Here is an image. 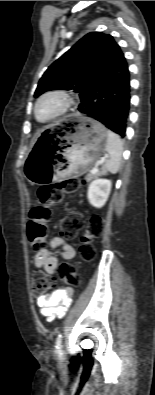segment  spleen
<instances>
[{"label":"spleen","mask_w":155,"mask_h":395,"mask_svg":"<svg viewBox=\"0 0 155 395\" xmlns=\"http://www.w3.org/2000/svg\"><path fill=\"white\" fill-rule=\"evenodd\" d=\"M105 150L108 153V159L106 160L105 168L107 171L115 174L118 172L121 165L123 142L117 134L110 130L107 131Z\"/></svg>","instance_id":"spleen-1"}]
</instances>
